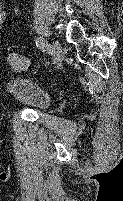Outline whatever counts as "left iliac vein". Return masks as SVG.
<instances>
[{
  "label": "left iliac vein",
  "instance_id": "obj_1",
  "mask_svg": "<svg viewBox=\"0 0 123 201\" xmlns=\"http://www.w3.org/2000/svg\"><path fill=\"white\" fill-rule=\"evenodd\" d=\"M51 50H52V54H53L55 62H59L63 60L64 52L58 40L56 39L53 40Z\"/></svg>",
  "mask_w": 123,
  "mask_h": 201
}]
</instances>
